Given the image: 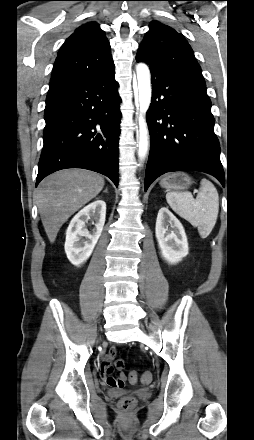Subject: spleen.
<instances>
[{
	"instance_id": "1",
	"label": "spleen",
	"mask_w": 254,
	"mask_h": 440,
	"mask_svg": "<svg viewBox=\"0 0 254 440\" xmlns=\"http://www.w3.org/2000/svg\"><path fill=\"white\" fill-rule=\"evenodd\" d=\"M200 184L196 199L189 192H168L166 200L173 211L197 227L201 238H206L217 221L219 196L211 181L203 178Z\"/></svg>"
}]
</instances>
